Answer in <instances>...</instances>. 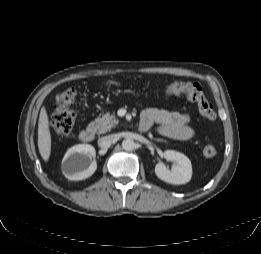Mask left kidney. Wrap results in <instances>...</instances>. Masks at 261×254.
I'll list each match as a JSON object with an SVG mask.
<instances>
[{
  "instance_id": "5707ae66",
  "label": "left kidney",
  "mask_w": 261,
  "mask_h": 254,
  "mask_svg": "<svg viewBox=\"0 0 261 254\" xmlns=\"http://www.w3.org/2000/svg\"><path fill=\"white\" fill-rule=\"evenodd\" d=\"M164 157L175 164L171 170L163 163L155 166V174L160 180L175 185L186 184L191 180L192 165L187 156L174 150H167L164 152Z\"/></svg>"
}]
</instances>
